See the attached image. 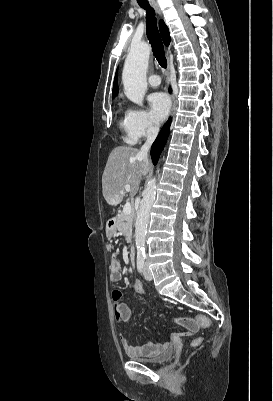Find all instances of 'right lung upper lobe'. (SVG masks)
<instances>
[{
	"label": "right lung upper lobe",
	"mask_w": 273,
	"mask_h": 401,
	"mask_svg": "<svg viewBox=\"0 0 273 401\" xmlns=\"http://www.w3.org/2000/svg\"><path fill=\"white\" fill-rule=\"evenodd\" d=\"M160 28V33L163 39L164 44L167 46L170 43V35H169V30L167 26L165 25L164 22H160L159 24ZM118 89H117V74L115 75L114 79V84H113V92H112V97H115L117 95Z\"/></svg>",
	"instance_id": "1"
}]
</instances>
